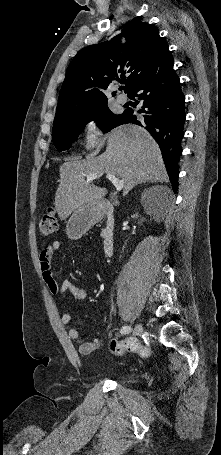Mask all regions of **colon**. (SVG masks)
I'll return each mask as SVG.
<instances>
[{
    "label": "colon",
    "instance_id": "5ec220e1",
    "mask_svg": "<svg viewBox=\"0 0 221 455\" xmlns=\"http://www.w3.org/2000/svg\"><path fill=\"white\" fill-rule=\"evenodd\" d=\"M38 228L40 234L44 237H51L56 234L58 230V220L55 210L50 209L42 215ZM110 350L116 355H123L127 352H137L141 356H147L149 354V350L133 338L112 340L110 343Z\"/></svg>",
    "mask_w": 221,
    "mask_h": 455
}]
</instances>
